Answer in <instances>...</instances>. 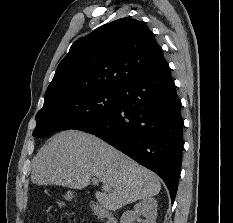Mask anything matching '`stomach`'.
I'll return each instance as SVG.
<instances>
[{
	"mask_svg": "<svg viewBox=\"0 0 233 223\" xmlns=\"http://www.w3.org/2000/svg\"><path fill=\"white\" fill-rule=\"evenodd\" d=\"M65 199H68V201H71L72 197H74V191H67L64 195Z\"/></svg>",
	"mask_w": 233,
	"mask_h": 223,
	"instance_id": "stomach-1",
	"label": "stomach"
}]
</instances>
